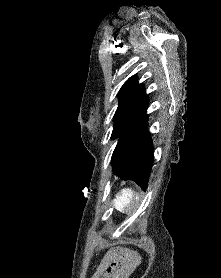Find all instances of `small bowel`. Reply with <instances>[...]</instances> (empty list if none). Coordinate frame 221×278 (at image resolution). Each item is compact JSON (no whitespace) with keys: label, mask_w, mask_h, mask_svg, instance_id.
<instances>
[{"label":"small bowel","mask_w":221,"mask_h":278,"mask_svg":"<svg viewBox=\"0 0 221 278\" xmlns=\"http://www.w3.org/2000/svg\"><path fill=\"white\" fill-rule=\"evenodd\" d=\"M138 257L126 250H115L105 256L92 278H124L135 266Z\"/></svg>","instance_id":"c3829d8e"}]
</instances>
